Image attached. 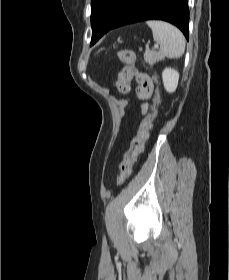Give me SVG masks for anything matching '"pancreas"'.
Instances as JSON below:
<instances>
[{
    "instance_id": "1",
    "label": "pancreas",
    "mask_w": 229,
    "mask_h": 280,
    "mask_svg": "<svg viewBox=\"0 0 229 280\" xmlns=\"http://www.w3.org/2000/svg\"><path fill=\"white\" fill-rule=\"evenodd\" d=\"M162 59V56L160 53L156 51H151L147 49L144 53V60L149 64L153 65L154 63L160 61Z\"/></svg>"
}]
</instances>
